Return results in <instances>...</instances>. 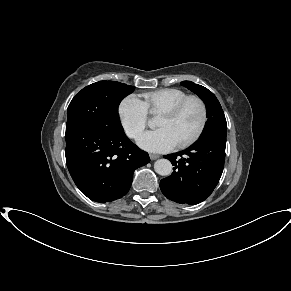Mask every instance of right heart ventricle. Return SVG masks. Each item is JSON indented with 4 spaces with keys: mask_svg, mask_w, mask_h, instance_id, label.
<instances>
[{
    "mask_svg": "<svg viewBox=\"0 0 291 291\" xmlns=\"http://www.w3.org/2000/svg\"><path fill=\"white\" fill-rule=\"evenodd\" d=\"M187 96L188 93L177 88H163L141 95L147 111L152 115H160Z\"/></svg>",
    "mask_w": 291,
    "mask_h": 291,
    "instance_id": "right-heart-ventricle-1",
    "label": "right heart ventricle"
}]
</instances>
